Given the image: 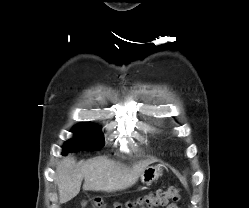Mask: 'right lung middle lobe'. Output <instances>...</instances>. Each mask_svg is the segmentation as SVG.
I'll return each instance as SVG.
<instances>
[{
    "mask_svg": "<svg viewBox=\"0 0 249 208\" xmlns=\"http://www.w3.org/2000/svg\"><path fill=\"white\" fill-rule=\"evenodd\" d=\"M72 132L74 138L64 144L62 154L76 150H97L104 146L103 134L94 124L81 123Z\"/></svg>",
    "mask_w": 249,
    "mask_h": 208,
    "instance_id": "1",
    "label": "right lung middle lobe"
}]
</instances>
